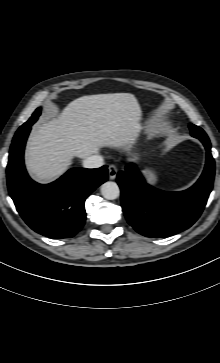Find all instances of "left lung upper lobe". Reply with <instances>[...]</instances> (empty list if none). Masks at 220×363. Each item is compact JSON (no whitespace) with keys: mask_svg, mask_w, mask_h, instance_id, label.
I'll return each instance as SVG.
<instances>
[{"mask_svg":"<svg viewBox=\"0 0 220 363\" xmlns=\"http://www.w3.org/2000/svg\"><path fill=\"white\" fill-rule=\"evenodd\" d=\"M189 128L191 130V135L194 137L203 136L207 137L206 133L198 126L190 124Z\"/></svg>","mask_w":220,"mask_h":363,"instance_id":"obj_1","label":"left lung upper lobe"}]
</instances>
